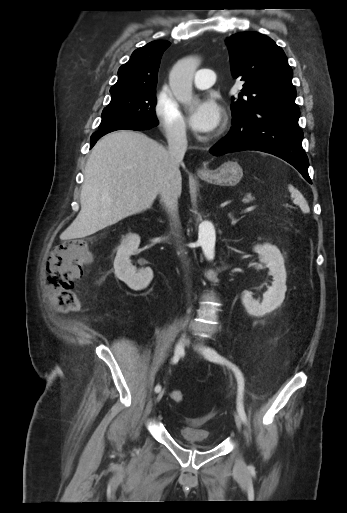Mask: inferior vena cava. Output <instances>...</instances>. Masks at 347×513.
I'll list each match as a JSON object with an SVG mask.
<instances>
[{
	"label": "inferior vena cava",
	"instance_id": "inferior-vena-cava-1",
	"mask_svg": "<svg viewBox=\"0 0 347 513\" xmlns=\"http://www.w3.org/2000/svg\"><path fill=\"white\" fill-rule=\"evenodd\" d=\"M169 166L173 173L179 172V165L182 162L187 150V137L184 128L171 130L167 135ZM160 201L174 219L178 218V194L172 182L166 183L160 191Z\"/></svg>",
	"mask_w": 347,
	"mask_h": 513
}]
</instances>
